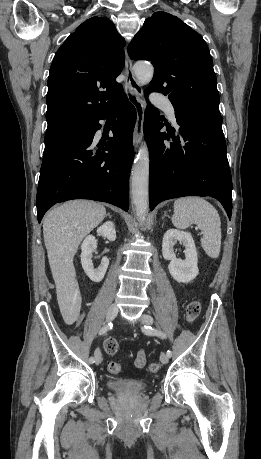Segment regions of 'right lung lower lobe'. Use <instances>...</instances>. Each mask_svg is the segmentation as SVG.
Segmentation results:
<instances>
[{
  "label": "right lung lower lobe",
  "instance_id": "1",
  "mask_svg": "<svg viewBox=\"0 0 261 459\" xmlns=\"http://www.w3.org/2000/svg\"><path fill=\"white\" fill-rule=\"evenodd\" d=\"M118 105L121 111L112 127L114 136L98 149L93 138L107 111L91 121L87 134L43 156L37 190L38 222L55 203L71 199L103 201L128 211L136 110L125 94Z\"/></svg>",
  "mask_w": 261,
  "mask_h": 459
}]
</instances>
